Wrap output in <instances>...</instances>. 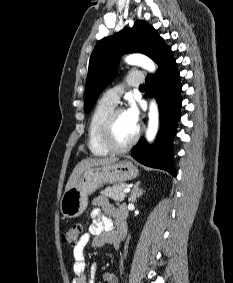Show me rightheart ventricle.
I'll list each match as a JSON object with an SVG mask.
<instances>
[{"label":"right heart ventricle","mask_w":233,"mask_h":283,"mask_svg":"<svg viewBox=\"0 0 233 283\" xmlns=\"http://www.w3.org/2000/svg\"><path fill=\"white\" fill-rule=\"evenodd\" d=\"M114 107V105L100 100L91 113L87 128V146L94 156H106L109 154V151L101 143V130L108 114Z\"/></svg>","instance_id":"e07e8e85"}]
</instances>
